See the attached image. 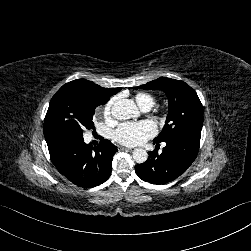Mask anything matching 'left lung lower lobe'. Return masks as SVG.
<instances>
[{"mask_svg": "<svg viewBox=\"0 0 251 251\" xmlns=\"http://www.w3.org/2000/svg\"><path fill=\"white\" fill-rule=\"evenodd\" d=\"M161 154L148 152L146 162L135 166L136 174L145 182L166 184L184 173L195 160L200 140L177 136L165 141Z\"/></svg>", "mask_w": 251, "mask_h": 251, "instance_id": "obj_1", "label": "left lung lower lobe"}]
</instances>
